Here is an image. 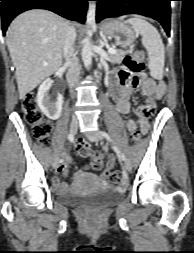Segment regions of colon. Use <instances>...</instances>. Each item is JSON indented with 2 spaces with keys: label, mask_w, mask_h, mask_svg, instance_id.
Instances as JSON below:
<instances>
[{
  "label": "colon",
  "mask_w": 194,
  "mask_h": 253,
  "mask_svg": "<svg viewBox=\"0 0 194 253\" xmlns=\"http://www.w3.org/2000/svg\"><path fill=\"white\" fill-rule=\"evenodd\" d=\"M124 66L125 70L134 75L142 74L144 70V53L142 51H136L128 55L124 59ZM21 109L25 122L32 129L34 138L39 143L46 144L49 140L52 127L38 108L36 95L34 93H29L24 97L21 103ZM154 110V103L152 100H149L140 107L139 111L143 115H152ZM130 138L133 142H138L140 139L139 131L131 132ZM76 150L79 155L87 156L92 152V147L88 142L81 140L76 144ZM90 165L95 170L101 169L103 166L102 156L97 152L93 153ZM107 177L115 184L123 182V174L118 170L109 172Z\"/></svg>",
  "instance_id": "5ec220e1"
}]
</instances>
